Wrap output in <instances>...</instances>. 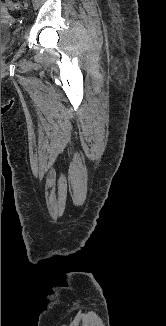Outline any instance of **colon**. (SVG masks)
I'll return each mask as SVG.
<instances>
[{"instance_id":"5ec220e1","label":"colon","mask_w":166,"mask_h":326,"mask_svg":"<svg viewBox=\"0 0 166 326\" xmlns=\"http://www.w3.org/2000/svg\"><path fill=\"white\" fill-rule=\"evenodd\" d=\"M4 2L6 3L7 7L10 8V9H16L17 8V4L14 3L11 0H5Z\"/></svg>"}]
</instances>
